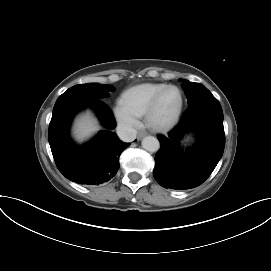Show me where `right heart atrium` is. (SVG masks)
Returning a JSON list of instances; mask_svg holds the SVG:
<instances>
[{"label":"right heart atrium","instance_id":"obj_1","mask_svg":"<svg viewBox=\"0 0 271 271\" xmlns=\"http://www.w3.org/2000/svg\"><path fill=\"white\" fill-rule=\"evenodd\" d=\"M114 115L119 125L127 131H133L138 127V119L128 112L121 103H118L114 108Z\"/></svg>","mask_w":271,"mask_h":271}]
</instances>
